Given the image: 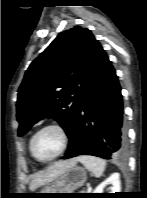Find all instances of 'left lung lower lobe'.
<instances>
[{"label":"left lung lower lobe","instance_id":"left-lung-lower-lobe-1","mask_svg":"<svg viewBox=\"0 0 147 198\" xmlns=\"http://www.w3.org/2000/svg\"><path fill=\"white\" fill-rule=\"evenodd\" d=\"M62 159L123 156L127 149L121 87L115 69L97 41L90 74Z\"/></svg>","mask_w":147,"mask_h":198}]
</instances>
